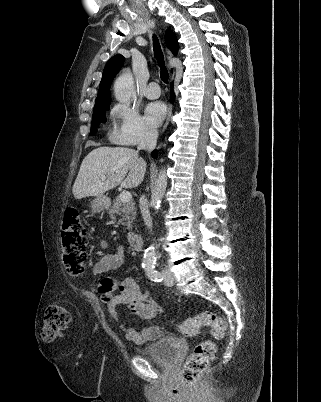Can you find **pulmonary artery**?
I'll return each mask as SVG.
<instances>
[{
    "label": "pulmonary artery",
    "instance_id": "obj_1",
    "mask_svg": "<svg viewBox=\"0 0 321 402\" xmlns=\"http://www.w3.org/2000/svg\"><path fill=\"white\" fill-rule=\"evenodd\" d=\"M145 96L148 99H156L160 96V88L157 82H150L145 91H144Z\"/></svg>",
    "mask_w": 321,
    "mask_h": 402
}]
</instances>
